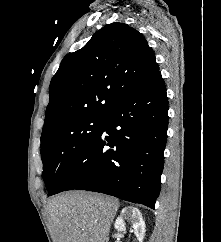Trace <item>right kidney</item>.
<instances>
[{
    "mask_svg": "<svg viewBox=\"0 0 221 242\" xmlns=\"http://www.w3.org/2000/svg\"><path fill=\"white\" fill-rule=\"evenodd\" d=\"M125 220L132 223L131 232H133L139 242H143L146 225L142 219V214L138 208L125 207L117 217L114 227L117 231H125Z\"/></svg>",
    "mask_w": 221,
    "mask_h": 242,
    "instance_id": "obj_1",
    "label": "right kidney"
}]
</instances>
